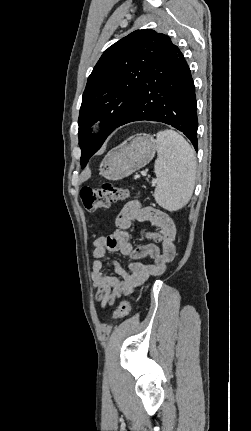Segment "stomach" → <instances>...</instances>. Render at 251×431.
Wrapping results in <instances>:
<instances>
[{"instance_id": "1", "label": "stomach", "mask_w": 251, "mask_h": 431, "mask_svg": "<svg viewBox=\"0 0 251 431\" xmlns=\"http://www.w3.org/2000/svg\"><path fill=\"white\" fill-rule=\"evenodd\" d=\"M156 141L148 134L130 137L112 149L103 159L100 174L108 180H120L147 165L154 157Z\"/></svg>"}]
</instances>
